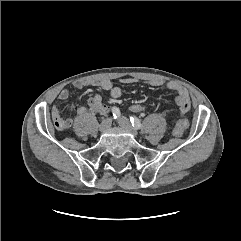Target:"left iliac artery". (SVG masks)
I'll use <instances>...</instances> for the list:
<instances>
[{
	"instance_id": "left-iliac-artery-1",
	"label": "left iliac artery",
	"mask_w": 241,
	"mask_h": 241,
	"mask_svg": "<svg viewBox=\"0 0 241 241\" xmlns=\"http://www.w3.org/2000/svg\"><path fill=\"white\" fill-rule=\"evenodd\" d=\"M130 121H131L132 126L135 129H140L142 127L141 122H140V120L137 117L131 116L130 117Z\"/></svg>"
}]
</instances>
